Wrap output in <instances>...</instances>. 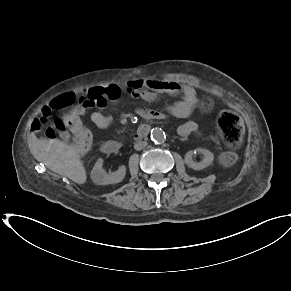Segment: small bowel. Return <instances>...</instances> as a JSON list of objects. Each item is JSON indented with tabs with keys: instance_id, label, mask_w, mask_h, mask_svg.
<instances>
[{
	"instance_id": "c3829d8e",
	"label": "small bowel",
	"mask_w": 291,
	"mask_h": 291,
	"mask_svg": "<svg viewBox=\"0 0 291 291\" xmlns=\"http://www.w3.org/2000/svg\"><path fill=\"white\" fill-rule=\"evenodd\" d=\"M126 93L132 98H141L146 102H153L159 94L165 93L169 95H182L180 101L175 102L169 107L170 113L181 119L188 118L194 111L198 98L195 90L188 85H181L176 81L160 80V79H144L142 77L131 78L126 87ZM124 95L123 88L117 83H107L104 85H95L85 89L82 93L79 103L81 112L87 107L94 108L91 113V121L99 128H107L112 118L102 112L109 102H117ZM139 117H146L148 120L166 121L168 114L166 112H157L156 110L139 108L137 110ZM43 116V113L42 115ZM45 120L39 122L38 126L33 125L34 130H40L44 127V123L48 121V117L44 116ZM198 125L193 120H188L182 124L178 133L181 136H187L195 133ZM64 140L70 138V133L65 131L60 134Z\"/></svg>"
}]
</instances>
